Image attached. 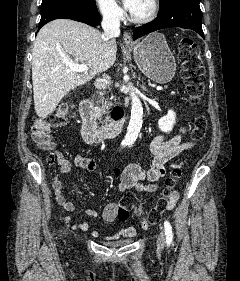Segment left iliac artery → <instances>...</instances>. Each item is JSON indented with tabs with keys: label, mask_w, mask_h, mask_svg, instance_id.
Listing matches in <instances>:
<instances>
[{
	"label": "left iliac artery",
	"mask_w": 240,
	"mask_h": 281,
	"mask_svg": "<svg viewBox=\"0 0 240 281\" xmlns=\"http://www.w3.org/2000/svg\"><path fill=\"white\" fill-rule=\"evenodd\" d=\"M164 227H165L166 243L169 246L173 240L172 227L167 220L164 222Z\"/></svg>",
	"instance_id": "44dca946"
}]
</instances>
